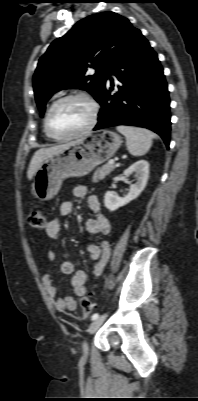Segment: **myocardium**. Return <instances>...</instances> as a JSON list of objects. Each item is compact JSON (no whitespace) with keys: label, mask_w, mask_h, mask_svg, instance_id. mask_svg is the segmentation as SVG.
Segmentation results:
<instances>
[{"label":"myocardium","mask_w":198,"mask_h":401,"mask_svg":"<svg viewBox=\"0 0 198 401\" xmlns=\"http://www.w3.org/2000/svg\"><path fill=\"white\" fill-rule=\"evenodd\" d=\"M70 99H80V100L85 101L91 108V119H90L89 123L83 129L79 130L76 133H73L68 136H56L52 132L51 126H50L51 115H52L54 109L60 103L66 101V100H70ZM99 112H100V107H99L98 102L94 98L89 96L88 94L78 92V93H70V94L64 95V96L58 98L57 100H55L51 104V106L49 107V109L46 113L45 123H44L46 134L51 139H53L55 141H59V142L69 141V140L75 139L77 137H80V136L90 132L96 126V124L98 122V118H99Z\"/></svg>","instance_id":"f54148a6"}]
</instances>
